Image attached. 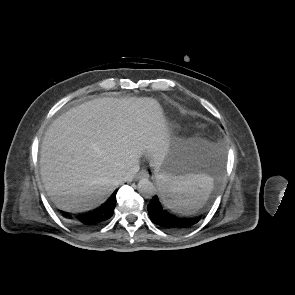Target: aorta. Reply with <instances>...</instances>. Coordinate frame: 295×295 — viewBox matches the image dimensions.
Returning a JSON list of instances; mask_svg holds the SVG:
<instances>
[{
  "mask_svg": "<svg viewBox=\"0 0 295 295\" xmlns=\"http://www.w3.org/2000/svg\"><path fill=\"white\" fill-rule=\"evenodd\" d=\"M138 192L145 198H151L155 195L156 188L154 184L147 178L141 179L138 182Z\"/></svg>",
  "mask_w": 295,
  "mask_h": 295,
  "instance_id": "obj_1",
  "label": "aorta"
}]
</instances>
